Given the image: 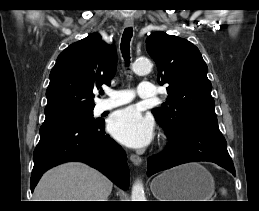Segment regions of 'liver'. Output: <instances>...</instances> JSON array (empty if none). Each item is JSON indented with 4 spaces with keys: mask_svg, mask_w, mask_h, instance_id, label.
<instances>
[{
    "mask_svg": "<svg viewBox=\"0 0 259 211\" xmlns=\"http://www.w3.org/2000/svg\"><path fill=\"white\" fill-rule=\"evenodd\" d=\"M112 187L113 183L94 168L69 162L42 176L33 201H108Z\"/></svg>",
    "mask_w": 259,
    "mask_h": 211,
    "instance_id": "obj_1",
    "label": "liver"
}]
</instances>
